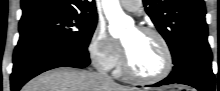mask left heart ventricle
Returning <instances> with one entry per match:
<instances>
[{
  "mask_svg": "<svg viewBox=\"0 0 220 91\" xmlns=\"http://www.w3.org/2000/svg\"><path fill=\"white\" fill-rule=\"evenodd\" d=\"M131 68L138 74L152 76L164 67L165 57L157 39L131 28L122 39Z\"/></svg>",
  "mask_w": 220,
  "mask_h": 91,
  "instance_id": "left-heart-ventricle-1",
  "label": "left heart ventricle"
}]
</instances>
